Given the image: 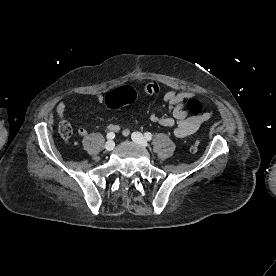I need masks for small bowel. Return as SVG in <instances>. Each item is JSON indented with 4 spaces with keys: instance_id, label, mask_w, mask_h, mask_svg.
<instances>
[{
    "instance_id": "obj_1",
    "label": "small bowel",
    "mask_w": 276,
    "mask_h": 276,
    "mask_svg": "<svg viewBox=\"0 0 276 276\" xmlns=\"http://www.w3.org/2000/svg\"><path fill=\"white\" fill-rule=\"evenodd\" d=\"M145 86L153 87L155 94L160 92V87L156 83H148ZM193 96L192 92L182 91L178 88H172L163 94L162 102L163 107L167 109L164 114H152L150 120L153 123L159 124L164 127H174L173 135L177 138H186L193 135L198 129L211 117L210 112H205L201 115H190L185 107V100ZM76 98H70L68 101H61L56 107V112L60 119L64 118L67 103L76 101ZM92 100L96 103H103L104 97L101 94L92 95ZM109 130L119 132L121 131L125 136L129 134L126 129H121L116 124H109ZM80 136H86L88 131L84 127L78 128Z\"/></svg>"
}]
</instances>
